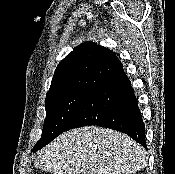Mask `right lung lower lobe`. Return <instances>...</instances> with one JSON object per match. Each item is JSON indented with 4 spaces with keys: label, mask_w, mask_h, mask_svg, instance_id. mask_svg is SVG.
I'll return each mask as SVG.
<instances>
[{
    "label": "right lung lower lobe",
    "mask_w": 175,
    "mask_h": 174,
    "mask_svg": "<svg viewBox=\"0 0 175 174\" xmlns=\"http://www.w3.org/2000/svg\"><path fill=\"white\" fill-rule=\"evenodd\" d=\"M89 125L123 132L147 149L145 125L130 80L123 68L90 91L66 131Z\"/></svg>",
    "instance_id": "right-lung-lower-lobe-1"
}]
</instances>
